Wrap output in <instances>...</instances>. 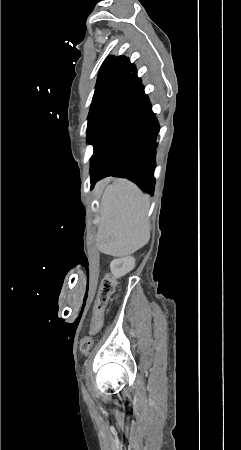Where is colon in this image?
<instances>
[{
	"label": "colon",
	"instance_id": "obj_1",
	"mask_svg": "<svg viewBox=\"0 0 241 450\" xmlns=\"http://www.w3.org/2000/svg\"><path fill=\"white\" fill-rule=\"evenodd\" d=\"M116 287V280L111 274H107L102 279V285L100 287V291L98 293V298L94 305L92 306V322L90 323V328L92 330H97L99 326L103 325V316L106 313V304L109 301L110 296L114 292ZM82 347H80L79 352L82 355L87 354L93 346V339L89 336H86L82 342Z\"/></svg>",
	"mask_w": 241,
	"mask_h": 450
}]
</instances>
